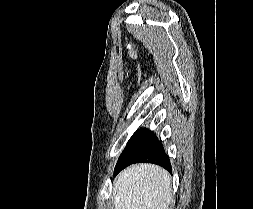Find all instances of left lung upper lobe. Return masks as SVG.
<instances>
[{
    "label": "left lung upper lobe",
    "mask_w": 253,
    "mask_h": 209,
    "mask_svg": "<svg viewBox=\"0 0 253 209\" xmlns=\"http://www.w3.org/2000/svg\"><path fill=\"white\" fill-rule=\"evenodd\" d=\"M157 137L152 131L149 130H138L128 141L126 148L122 152L119 159H123L126 156H135L144 151L150 146Z\"/></svg>",
    "instance_id": "1"
}]
</instances>
